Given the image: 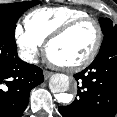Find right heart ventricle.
Here are the masks:
<instances>
[{"label":"right heart ventricle","mask_w":117,"mask_h":117,"mask_svg":"<svg viewBox=\"0 0 117 117\" xmlns=\"http://www.w3.org/2000/svg\"><path fill=\"white\" fill-rule=\"evenodd\" d=\"M82 17H88V14L72 7H42L30 12L24 22L26 31L42 44L60 27Z\"/></svg>","instance_id":"e07e8e85"}]
</instances>
